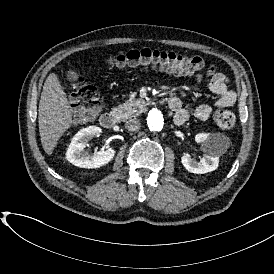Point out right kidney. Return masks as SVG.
<instances>
[{
  "instance_id": "1",
  "label": "right kidney",
  "mask_w": 274,
  "mask_h": 274,
  "mask_svg": "<svg viewBox=\"0 0 274 274\" xmlns=\"http://www.w3.org/2000/svg\"><path fill=\"white\" fill-rule=\"evenodd\" d=\"M100 135L101 128L97 126L84 127L78 131L67 149V161L84 169H95L110 163L116 155V148L108 147L105 150L95 151L93 154H87L84 150L89 140Z\"/></svg>"
}]
</instances>
